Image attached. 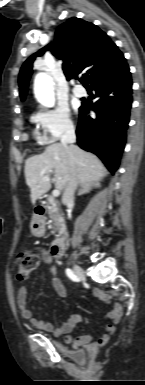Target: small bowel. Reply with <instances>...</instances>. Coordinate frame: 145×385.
I'll return each mask as SVG.
<instances>
[{
    "mask_svg": "<svg viewBox=\"0 0 145 385\" xmlns=\"http://www.w3.org/2000/svg\"><path fill=\"white\" fill-rule=\"evenodd\" d=\"M54 259L55 257L51 254L50 251L43 250L41 252L42 262L50 265L49 273L52 277V285L54 290L58 296L65 297L67 291L64 284L57 276V267L53 263ZM92 294L96 298L100 299L103 303L110 306V310L105 314V318L113 322V324H109L105 327L104 334L96 340L93 339L92 335L90 334L81 335L75 339L70 336V333L76 324L79 323L82 319V316L78 313L69 315L64 323L59 327H55L51 322L40 320L34 317L32 311L28 307V289L26 286H21L19 288L16 297V304L24 320L30 322L33 326L40 330L51 332L56 336H64V342L66 344L72 345V347L77 351L80 347L98 348L105 345L110 340L115 331L114 324L119 322L122 315V305L119 302L112 303L110 295L98 289L93 290Z\"/></svg>",
    "mask_w": 145,
    "mask_h": 385,
    "instance_id": "obj_1",
    "label": "small bowel"
}]
</instances>
